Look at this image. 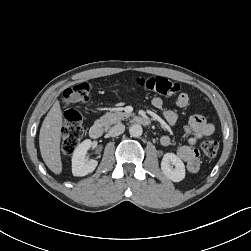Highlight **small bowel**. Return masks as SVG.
<instances>
[{
	"instance_id": "obj_1",
	"label": "small bowel",
	"mask_w": 251,
	"mask_h": 251,
	"mask_svg": "<svg viewBox=\"0 0 251 251\" xmlns=\"http://www.w3.org/2000/svg\"><path fill=\"white\" fill-rule=\"evenodd\" d=\"M190 99L186 93H181L176 98V106L178 108H186L189 105ZM152 105L158 110L164 109V100L161 97H154ZM164 119L171 125L175 124L178 119L177 112L173 110L163 111ZM185 132L188 134L187 144L178 147L177 154L182 161L185 162L189 172L196 173L199 170L200 161L199 154L195 148L196 143L203 137L209 136L214 132V126L209 123L203 116H191L185 126ZM161 144L164 147H169L172 144V139L168 135L161 137Z\"/></svg>"
}]
</instances>
